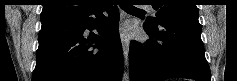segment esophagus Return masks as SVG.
Masks as SVG:
<instances>
[{"label": "esophagus", "instance_id": "34e87169", "mask_svg": "<svg viewBox=\"0 0 237 81\" xmlns=\"http://www.w3.org/2000/svg\"><path fill=\"white\" fill-rule=\"evenodd\" d=\"M121 21L124 20L125 14L123 12L120 13ZM121 44L123 49V54L125 58V62H128V54H129V46H130V39L124 35H121Z\"/></svg>", "mask_w": 237, "mask_h": 81}]
</instances>
